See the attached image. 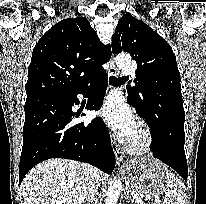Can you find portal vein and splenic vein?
<instances>
[{
    "instance_id": "18ae733b",
    "label": "portal vein and splenic vein",
    "mask_w": 206,
    "mask_h": 204,
    "mask_svg": "<svg viewBox=\"0 0 206 204\" xmlns=\"http://www.w3.org/2000/svg\"><path fill=\"white\" fill-rule=\"evenodd\" d=\"M131 194L134 198L137 199L138 202H140L142 204V200H141V198L139 197L138 194H136V193L134 194V192H132ZM155 202H156L155 204H158V202H159V197L158 196H155Z\"/></svg>"
}]
</instances>
